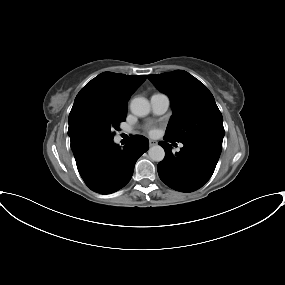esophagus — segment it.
<instances>
[{
	"instance_id": "1",
	"label": "esophagus",
	"mask_w": 285,
	"mask_h": 285,
	"mask_svg": "<svg viewBox=\"0 0 285 285\" xmlns=\"http://www.w3.org/2000/svg\"><path fill=\"white\" fill-rule=\"evenodd\" d=\"M156 144H157V142L155 140H149V145L150 146H154Z\"/></svg>"
}]
</instances>
